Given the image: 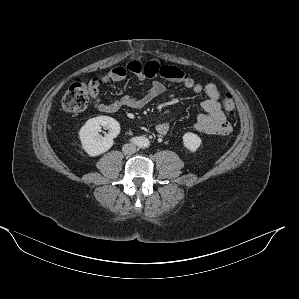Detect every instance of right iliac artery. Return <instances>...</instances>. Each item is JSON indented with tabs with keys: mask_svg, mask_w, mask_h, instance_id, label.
<instances>
[{
	"mask_svg": "<svg viewBox=\"0 0 299 299\" xmlns=\"http://www.w3.org/2000/svg\"><path fill=\"white\" fill-rule=\"evenodd\" d=\"M131 141H132V142H136V138H132Z\"/></svg>",
	"mask_w": 299,
	"mask_h": 299,
	"instance_id": "82829eb1",
	"label": "right iliac artery"
}]
</instances>
